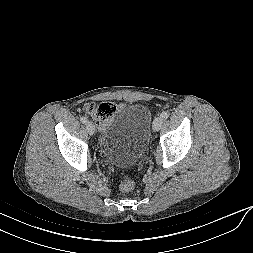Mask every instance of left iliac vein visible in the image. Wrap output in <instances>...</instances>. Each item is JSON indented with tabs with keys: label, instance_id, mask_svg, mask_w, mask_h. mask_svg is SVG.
<instances>
[{
	"label": "left iliac vein",
	"instance_id": "left-iliac-vein-1",
	"mask_svg": "<svg viewBox=\"0 0 253 253\" xmlns=\"http://www.w3.org/2000/svg\"><path fill=\"white\" fill-rule=\"evenodd\" d=\"M162 123H163V118L161 116L155 118V120L153 122V130L159 131L161 129Z\"/></svg>",
	"mask_w": 253,
	"mask_h": 253
}]
</instances>
